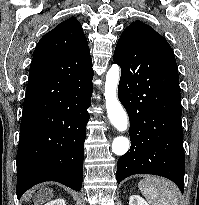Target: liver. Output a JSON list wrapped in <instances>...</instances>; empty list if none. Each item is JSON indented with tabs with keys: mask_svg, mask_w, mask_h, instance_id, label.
<instances>
[{
	"mask_svg": "<svg viewBox=\"0 0 199 205\" xmlns=\"http://www.w3.org/2000/svg\"><path fill=\"white\" fill-rule=\"evenodd\" d=\"M39 196H40V194L37 196V198H39ZM52 197V192H50V194H49V197H46L45 199L46 200H48V199H50ZM38 203V201H37V199L35 200V204H37Z\"/></svg>",
	"mask_w": 199,
	"mask_h": 205,
	"instance_id": "6515ba94",
	"label": "liver"
}]
</instances>
